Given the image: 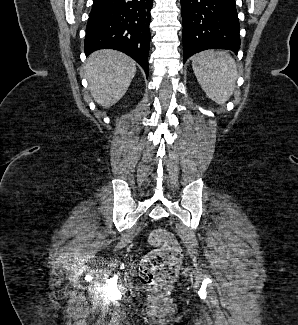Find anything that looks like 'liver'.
<instances>
[{
	"label": "liver",
	"mask_w": 298,
	"mask_h": 325,
	"mask_svg": "<svg viewBox=\"0 0 298 325\" xmlns=\"http://www.w3.org/2000/svg\"><path fill=\"white\" fill-rule=\"evenodd\" d=\"M135 74L134 60L111 48L92 52L85 64L90 92L95 102L104 108L113 106L122 98Z\"/></svg>",
	"instance_id": "liver-1"
}]
</instances>
